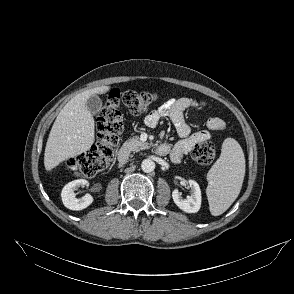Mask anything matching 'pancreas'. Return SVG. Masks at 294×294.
<instances>
[{
  "label": "pancreas",
  "mask_w": 294,
  "mask_h": 294,
  "mask_svg": "<svg viewBox=\"0 0 294 294\" xmlns=\"http://www.w3.org/2000/svg\"><path fill=\"white\" fill-rule=\"evenodd\" d=\"M149 147V144L146 142H142L139 137L135 136L129 138L124 144L123 149L132 152H138L140 150H144Z\"/></svg>",
  "instance_id": "1"
}]
</instances>
